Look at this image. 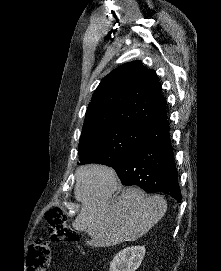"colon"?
I'll return each mask as SVG.
<instances>
[{
    "label": "colon",
    "mask_w": 221,
    "mask_h": 271,
    "mask_svg": "<svg viewBox=\"0 0 221 271\" xmlns=\"http://www.w3.org/2000/svg\"><path fill=\"white\" fill-rule=\"evenodd\" d=\"M46 221L49 225L48 234L52 241L75 243L79 233L68 226V217L65 210L54 206L47 210ZM52 252L46 240L38 238L29 247L26 262L28 271H48L51 265Z\"/></svg>",
    "instance_id": "obj_1"
}]
</instances>
